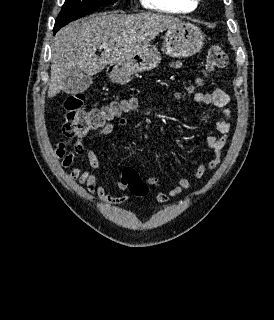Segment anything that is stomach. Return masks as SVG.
<instances>
[{
  "mask_svg": "<svg viewBox=\"0 0 274 320\" xmlns=\"http://www.w3.org/2000/svg\"><path fill=\"white\" fill-rule=\"evenodd\" d=\"M204 34L200 28L187 22H179L168 28L164 36V52L171 58H190L200 52L204 44ZM161 56L158 48L147 46L140 50L134 58L121 64H110L108 76L112 82H124L131 74L149 72L160 64Z\"/></svg>",
  "mask_w": 274,
  "mask_h": 320,
  "instance_id": "1",
  "label": "stomach"
}]
</instances>
